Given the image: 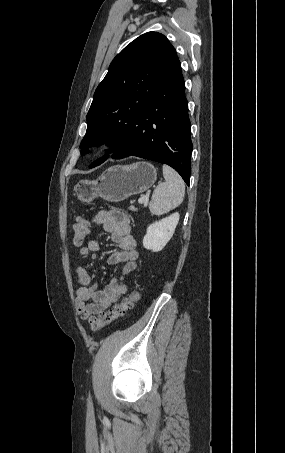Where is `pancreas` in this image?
<instances>
[{
    "label": "pancreas",
    "mask_w": 285,
    "mask_h": 453,
    "mask_svg": "<svg viewBox=\"0 0 285 453\" xmlns=\"http://www.w3.org/2000/svg\"><path fill=\"white\" fill-rule=\"evenodd\" d=\"M130 210L137 211V209L134 206H130Z\"/></svg>",
    "instance_id": "obj_1"
}]
</instances>
